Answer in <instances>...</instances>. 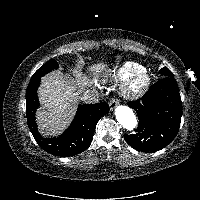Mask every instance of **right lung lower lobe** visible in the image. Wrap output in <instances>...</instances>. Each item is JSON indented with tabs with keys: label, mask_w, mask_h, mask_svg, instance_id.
<instances>
[{
	"label": "right lung lower lobe",
	"mask_w": 200,
	"mask_h": 200,
	"mask_svg": "<svg viewBox=\"0 0 200 200\" xmlns=\"http://www.w3.org/2000/svg\"><path fill=\"white\" fill-rule=\"evenodd\" d=\"M40 78L30 81L26 91L27 123L38 145L58 156H74L88 148L99 119L109 112L106 103L80 105L70 127L57 138H43L37 131L35 111L39 106L37 88Z\"/></svg>",
	"instance_id": "1"
}]
</instances>
